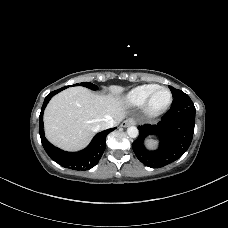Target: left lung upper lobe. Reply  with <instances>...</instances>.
I'll list each match as a JSON object with an SVG mask.
<instances>
[{
  "label": "left lung upper lobe",
  "instance_id": "5c2ea615",
  "mask_svg": "<svg viewBox=\"0 0 228 228\" xmlns=\"http://www.w3.org/2000/svg\"><path fill=\"white\" fill-rule=\"evenodd\" d=\"M169 88H170V90H171L172 95H173L174 98H177V97H180V96H186L187 95L183 91L178 90V89H175L172 86H169Z\"/></svg>",
  "mask_w": 228,
  "mask_h": 228
}]
</instances>
